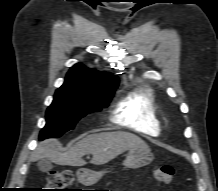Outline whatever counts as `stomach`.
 Here are the masks:
<instances>
[{"instance_id": "obj_1", "label": "stomach", "mask_w": 218, "mask_h": 191, "mask_svg": "<svg viewBox=\"0 0 218 191\" xmlns=\"http://www.w3.org/2000/svg\"><path fill=\"white\" fill-rule=\"evenodd\" d=\"M153 160V154L150 150L131 149L129 150L123 165L127 168H139L150 164ZM104 171H92L80 169L77 171L78 181L84 185H92L98 182Z\"/></svg>"}]
</instances>
